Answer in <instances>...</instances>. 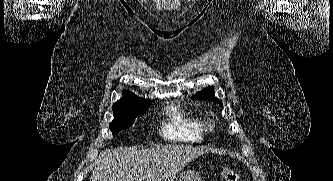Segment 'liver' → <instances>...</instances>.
<instances>
[{
  "label": "liver",
  "instance_id": "1",
  "mask_svg": "<svg viewBox=\"0 0 333 181\" xmlns=\"http://www.w3.org/2000/svg\"><path fill=\"white\" fill-rule=\"evenodd\" d=\"M206 152L187 145L106 149L95 161L90 181H174L189 162Z\"/></svg>",
  "mask_w": 333,
  "mask_h": 181
}]
</instances>
